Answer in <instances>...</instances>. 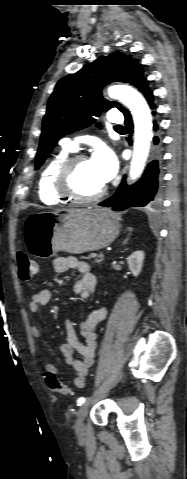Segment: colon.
Wrapping results in <instances>:
<instances>
[{
  "label": "colon",
  "instance_id": "obj_1",
  "mask_svg": "<svg viewBox=\"0 0 187 479\" xmlns=\"http://www.w3.org/2000/svg\"><path fill=\"white\" fill-rule=\"evenodd\" d=\"M17 266L19 278L24 283L30 282L37 272V265L35 261H33L25 253H18ZM44 378L52 392L65 397L72 395L70 388L61 380H59L54 374L47 373Z\"/></svg>",
  "mask_w": 187,
  "mask_h": 479
}]
</instances>
